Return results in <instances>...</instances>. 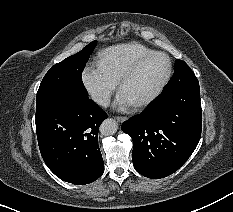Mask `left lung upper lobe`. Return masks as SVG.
I'll return each mask as SVG.
<instances>
[{
    "label": "left lung upper lobe",
    "instance_id": "5c2ea615",
    "mask_svg": "<svg viewBox=\"0 0 233 212\" xmlns=\"http://www.w3.org/2000/svg\"><path fill=\"white\" fill-rule=\"evenodd\" d=\"M174 70L175 73L172 79L165 86L164 90L171 88L173 85L180 82L181 80H185L188 78H196L195 74L190 69V67L184 61H181L179 59L175 61Z\"/></svg>",
    "mask_w": 233,
    "mask_h": 212
}]
</instances>
